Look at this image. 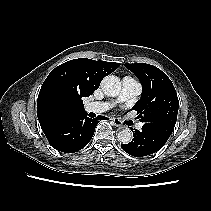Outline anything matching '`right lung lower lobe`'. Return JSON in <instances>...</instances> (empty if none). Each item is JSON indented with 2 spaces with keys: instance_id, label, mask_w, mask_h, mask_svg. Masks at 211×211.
<instances>
[{
  "instance_id": "obj_1",
  "label": "right lung lower lobe",
  "mask_w": 211,
  "mask_h": 211,
  "mask_svg": "<svg viewBox=\"0 0 211 211\" xmlns=\"http://www.w3.org/2000/svg\"><path fill=\"white\" fill-rule=\"evenodd\" d=\"M99 119L87 117V113H69L56 118L51 124L43 128L49 144L62 152L74 153L84 148L91 140Z\"/></svg>"
}]
</instances>
